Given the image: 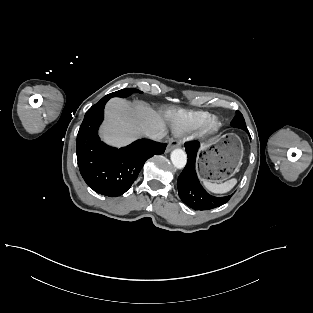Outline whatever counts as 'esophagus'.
<instances>
[{
	"label": "esophagus",
	"instance_id": "obj_1",
	"mask_svg": "<svg viewBox=\"0 0 313 313\" xmlns=\"http://www.w3.org/2000/svg\"><path fill=\"white\" fill-rule=\"evenodd\" d=\"M181 143L180 141L178 140H171L170 143L168 144V147H167V152L171 151L172 149L180 146Z\"/></svg>",
	"mask_w": 313,
	"mask_h": 313
}]
</instances>
